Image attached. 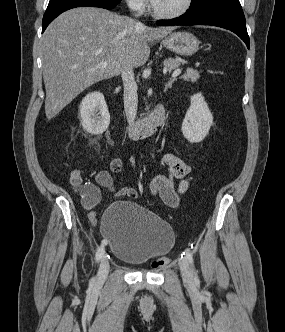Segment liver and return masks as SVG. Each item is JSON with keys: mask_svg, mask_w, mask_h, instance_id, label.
<instances>
[{"mask_svg": "<svg viewBox=\"0 0 285 332\" xmlns=\"http://www.w3.org/2000/svg\"><path fill=\"white\" fill-rule=\"evenodd\" d=\"M173 27H147L133 19L93 7L59 15L42 37L45 114L55 117L91 85L117 76L126 66H142L149 43L167 36ZM107 62L104 68L97 65Z\"/></svg>", "mask_w": 285, "mask_h": 332, "instance_id": "6515ba94", "label": "liver"}]
</instances>
